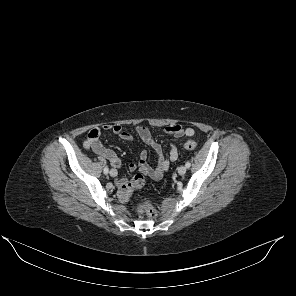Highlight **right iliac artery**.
I'll use <instances>...</instances> for the list:
<instances>
[{
  "instance_id": "82829eb1",
  "label": "right iliac artery",
  "mask_w": 296,
  "mask_h": 296,
  "mask_svg": "<svg viewBox=\"0 0 296 296\" xmlns=\"http://www.w3.org/2000/svg\"><path fill=\"white\" fill-rule=\"evenodd\" d=\"M108 172H109V168L106 166V167L104 168V173H105V174H108Z\"/></svg>"
}]
</instances>
